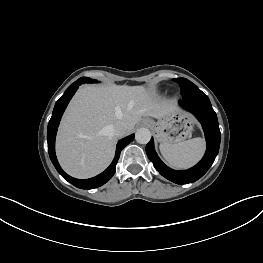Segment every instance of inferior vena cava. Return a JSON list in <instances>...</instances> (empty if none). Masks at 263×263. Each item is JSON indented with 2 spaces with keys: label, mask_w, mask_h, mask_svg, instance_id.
I'll return each instance as SVG.
<instances>
[{
  "label": "inferior vena cava",
  "mask_w": 263,
  "mask_h": 263,
  "mask_svg": "<svg viewBox=\"0 0 263 263\" xmlns=\"http://www.w3.org/2000/svg\"><path fill=\"white\" fill-rule=\"evenodd\" d=\"M113 136L121 137L126 134V125L123 122L118 121L117 123L107 127Z\"/></svg>",
  "instance_id": "602c4592"
}]
</instances>
